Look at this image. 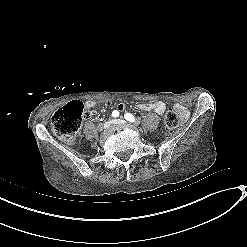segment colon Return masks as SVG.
Returning <instances> with one entry per match:
<instances>
[{"instance_id": "colon-1", "label": "colon", "mask_w": 247, "mask_h": 247, "mask_svg": "<svg viewBox=\"0 0 247 247\" xmlns=\"http://www.w3.org/2000/svg\"><path fill=\"white\" fill-rule=\"evenodd\" d=\"M84 105L80 99H73L69 105L59 109L52 118V128L61 139L73 140L85 119ZM178 125L177 113L168 109L165 113V127L168 132H173Z\"/></svg>"}]
</instances>
